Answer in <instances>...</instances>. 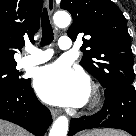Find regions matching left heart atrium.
Listing matches in <instances>:
<instances>
[{
    "instance_id": "39dd6f15",
    "label": "left heart atrium",
    "mask_w": 136,
    "mask_h": 136,
    "mask_svg": "<svg viewBox=\"0 0 136 136\" xmlns=\"http://www.w3.org/2000/svg\"><path fill=\"white\" fill-rule=\"evenodd\" d=\"M34 87L41 99L61 106H81L90 93L87 77L62 62L40 68L34 79Z\"/></svg>"
}]
</instances>
